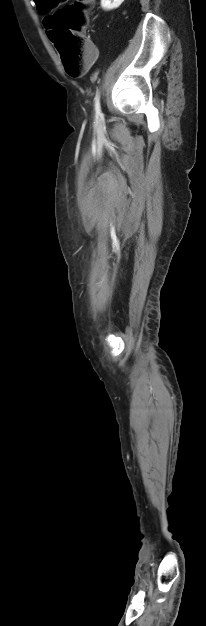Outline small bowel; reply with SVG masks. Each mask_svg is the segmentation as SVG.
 Wrapping results in <instances>:
<instances>
[{
  "label": "small bowel",
  "mask_w": 206,
  "mask_h": 626,
  "mask_svg": "<svg viewBox=\"0 0 206 626\" xmlns=\"http://www.w3.org/2000/svg\"><path fill=\"white\" fill-rule=\"evenodd\" d=\"M42 1H43V0H37V6L39 7V9H40L41 2H42ZM48 17H49V16L45 17V19H44V25H45V29H46L47 35H48V37L50 38V30H51V29H50V27H49V26H48V24H47V19H48Z\"/></svg>",
  "instance_id": "small-bowel-1"
}]
</instances>
